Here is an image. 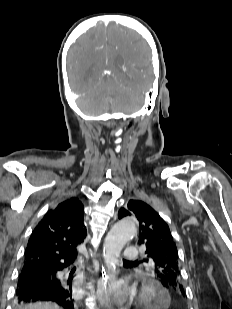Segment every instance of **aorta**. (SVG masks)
<instances>
[{"mask_svg": "<svg viewBox=\"0 0 232 309\" xmlns=\"http://www.w3.org/2000/svg\"><path fill=\"white\" fill-rule=\"evenodd\" d=\"M137 231L136 221L126 219L116 223L107 234L104 242L103 257L106 266L114 270L121 251Z\"/></svg>", "mask_w": 232, "mask_h": 309, "instance_id": "1", "label": "aorta"}]
</instances>
